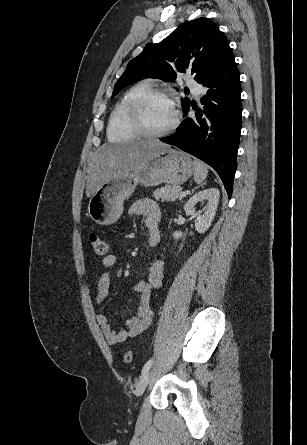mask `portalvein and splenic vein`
<instances>
[{
	"label": "portal vein and splenic vein",
	"instance_id": "18ae733b",
	"mask_svg": "<svg viewBox=\"0 0 307 445\" xmlns=\"http://www.w3.org/2000/svg\"><path fill=\"white\" fill-rule=\"evenodd\" d=\"M181 196H186V194H181Z\"/></svg>",
	"mask_w": 307,
	"mask_h": 445
}]
</instances>
